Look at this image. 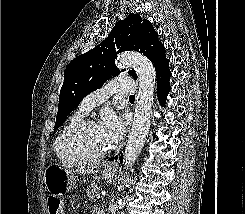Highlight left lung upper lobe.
Masks as SVG:
<instances>
[{
  "label": "left lung upper lobe",
  "mask_w": 245,
  "mask_h": 214,
  "mask_svg": "<svg viewBox=\"0 0 245 214\" xmlns=\"http://www.w3.org/2000/svg\"><path fill=\"white\" fill-rule=\"evenodd\" d=\"M127 50H135L148 57L155 66L156 77L169 66L165 48L158 40L152 24L140 15L130 13L114 26L109 36L98 46L77 56L66 66L55 130L86 95L102 87L108 78L120 72L115 65V58L118 53ZM129 74L137 79L134 70H130Z\"/></svg>",
  "instance_id": "1"
}]
</instances>
